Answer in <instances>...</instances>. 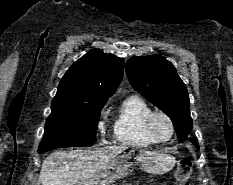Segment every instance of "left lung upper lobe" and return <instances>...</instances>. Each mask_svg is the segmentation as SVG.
I'll return each mask as SVG.
<instances>
[{
  "label": "left lung upper lobe",
  "mask_w": 233,
  "mask_h": 185,
  "mask_svg": "<svg viewBox=\"0 0 233 185\" xmlns=\"http://www.w3.org/2000/svg\"><path fill=\"white\" fill-rule=\"evenodd\" d=\"M125 70L132 87L170 117L179 141H185L193 125L187 88L175 67L152 55L132 57Z\"/></svg>",
  "instance_id": "5c2ea615"
}]
</instances>
